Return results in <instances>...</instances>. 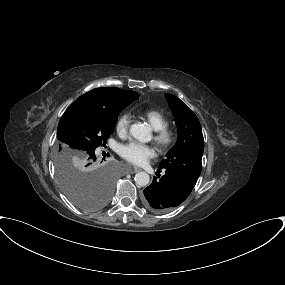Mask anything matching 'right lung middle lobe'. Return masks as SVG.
<instances>
[{
    "label": "right lung middle lobe",
    "instance_id": "dd1d6c3e",
    "mask_svg": "<svg viewBox=\"0 0 285 285\" xmlns=\"http://www.w3.org/2000/svg\"><path fill=\"white\" fill-rule=\"evenodd\" d=\"M138 98L137 92H131L114 97L106 107L73 103L63 114L57 129L55 170L62 191L77 207L95 211L109 202L114 173L101 162L89 163L113 133L122 109Z\"/></svg>",
    "mask_w": 285,
    "mask_h": 285
}]
</instances>
